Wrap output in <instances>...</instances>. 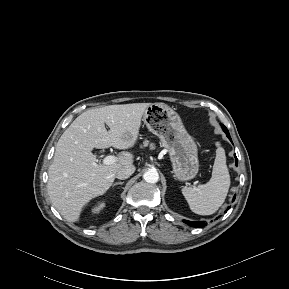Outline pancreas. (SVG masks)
<instances>
[{
  "label": "pancreas",
  "mask_w": 289,
  "mask_h": 289,
  "mask_svg": "<svg viewBox=\"0 0 289 289\" xmlns=\"http://www.w3.org/2000/svg\"><path fill=\"white\" fill-rule=\"evenodd\" d=\"M148 145H149V141H148V140H145V141H144V146H148ZM150 147L153 148V147H154V144L151 143V144H150Z\"/></svg>",
  "instance_id": "pancreas-1"
}]
</instances>
